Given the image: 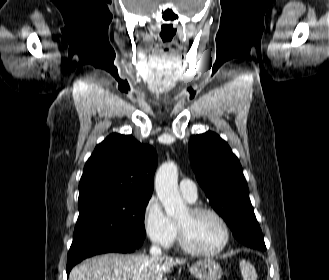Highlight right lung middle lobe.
<instances>
[{
	"label": "right lung middle lobe",
	"mask_w": 329,
	"mask_h": 280,
	"mask_svg": "<svg viewBox=\"0 0 329 280\" xmlns=\"http://www.w3.org/2000/svg\"><path fill=\"white\" fill-rule=\"evenodd\" d=\"M150 197L129 195L79 201V217L68 260L99 242L140 247L146 236L144 212Z\"/></svg>",
	"instance_id": "1"
}]
</instances>
